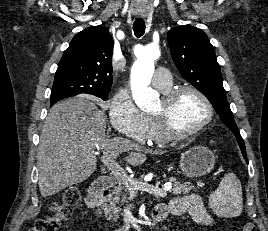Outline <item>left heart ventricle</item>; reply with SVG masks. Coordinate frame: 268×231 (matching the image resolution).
Instances as JSON below:
<instances>
[{"label": "left heart ventricle", "mask_w": 268, "mask_h": 231, "mask_svg": "<svg viewBox=\"0 0 268 231\" xmlns=\"http://www.w3.org/2000/svg\"><path fill=\"white\" fill-rule=\"evenodd\" d=\"M161 100L153 112L160 107ZM206 117V107L203 101L191 92L182 93L175 101L172 110V121L175 129L180 132L195 128Z\"/></svg>", "instance_id": "left-heart-ventricle-1"}]
</instances>
